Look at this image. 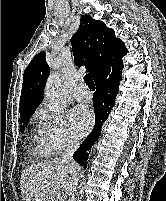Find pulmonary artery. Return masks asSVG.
<instances>
[{
	"label": "pulmonary artery",
	"instance_id": "1",
	"mask_svg": "<svg viewBox=\"0 0 166 201\" xmlns=\"http://www.w3.org/2000/svg\"><path fill=\"white\" fill-rule=\"evenodd\" d=\"M74 98L79 102L89 101L91 99V92L86 85L81 84L76 88Z\"/></svg>",
	"mask_w": 166,
	"mask_h": 201
}]
</instances>
